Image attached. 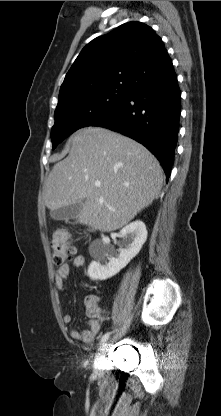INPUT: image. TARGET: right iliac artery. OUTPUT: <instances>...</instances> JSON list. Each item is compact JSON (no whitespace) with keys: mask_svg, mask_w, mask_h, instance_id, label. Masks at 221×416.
<instances>
[{"mask_svg":"<svg viewBox=\"0 0 221 416\" xmlns=\"http://www.w3.org/2000/svg\"><path fill=\"white\" fill-rule=\"evenodd\" d=\"M109 336H110V333L109 332L105 333L102 336L101 340H100V344H104V342H106L108 340Z\"/></svg>","mask_w":221,"mask_h":416,"instance_id":"1","label":"right iliac artery"}]
</instances>
